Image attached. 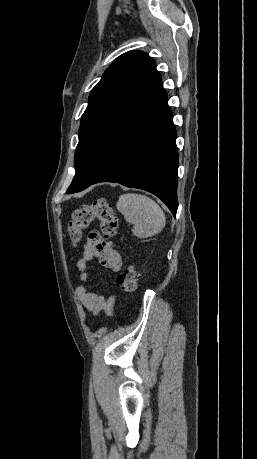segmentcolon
<instances>
[{
	"instance_id": "5ec220e1",
	"label": "colon",
	"mask_w": 257,
	"mask_h": 459,
	"mask_svg": "<svg viewBox=\"0 0 257 459\" xmlns=\"http://www.w3.org/2000/svg\"><path fill=\"white\" fill-rule=\"evenodd\" d=\"M96 220L100 223V230L105 239H110L117 234L118 219L112 206L107 199L99 198L73 212L67 226L70 241L73 244L79 242L83 232ZM117 281L123 291L135 292L139 284L138 270L134 266L126 267L119 273Z\"/></svg>"
}]
</instances>
